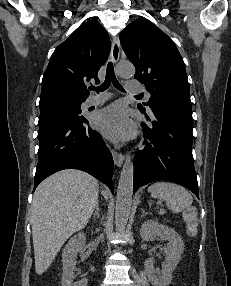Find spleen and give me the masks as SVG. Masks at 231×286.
Returning <instances> with one entry per match:
<instances>
[{
    "label": "spleen",
    "mask_w": 231,
    "mask_h": 286,
    "mask_svg": "<svg viewBox=\"0 0 231 286\" xmlns=\"http://www.w3.org/2000/svg\"><path fill=\"white\" fill-rule=\"evenodd\" d=\"M148 191L153 198L162 199L173 213H180L193 202L191 194L182 186L169 182H156Z\"/></svg>",
    "instance_id": "spleen-1"
}]
</instances>
